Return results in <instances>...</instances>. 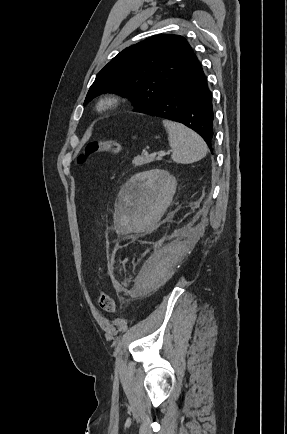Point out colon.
Masks as SVG:
<instances>
[{
	"label": "colon",
	"mask_w": 287,
	"mask_h": 434,
	"mask_svg": "<svg viewBox=\"0 0 287 434\" xmlns=\"http://www.w3.org/2000/svg\"><path fill=\"white\" fill-rule=\"evenodd\" d=\"M121 150V144L115 140L91 142L85 147L84 153L79 157L78 161L80 163H83L88 157L92 155L99 153L117 154ZM98 306L103 312L107 314H112L116 308L115 299L110 293L104 292L100 295L98 299Z\"/></svg>",
	"instance_id": "obj_1"
}]
</instances>
